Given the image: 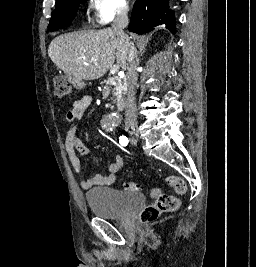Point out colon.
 <instances>
[{
    "instance_id": "obj_1",
    "label": "colon",
    "mask_w": 256,
    "mask_h": 267,
    "mask_svg": "<svg viewBox=\"0 0 256 267\" xmlns=\"http://www.w3.org/2000/svg\"><path fill=\"white\" fill-rule=\"evenodd\" d=\"M54 84L55 95L57 98H67L71 96L72 86L71 83L66 80V78L57 77L54 81ZM166 180L174 191V194H170V196L165 195V197H159L161 200H154V204L147 206L140 212V223L143 224V227H146V224H149L150 221L156 220L162 213L170 214L176 212L179 208V197L185 196L187 193V185L183 179L170 175ZM123 186L127 191H139V184L136 182H125ZM159 192L160 188H154L153 191H151V196L159 195Z\"/></svg>"
}]
</instances>
